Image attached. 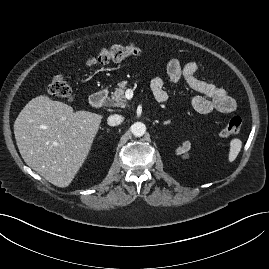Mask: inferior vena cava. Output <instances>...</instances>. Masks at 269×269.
Segmentation results:
<instances>
[{"instance_id":"1","label":"inferior vena cava","mask_w":269,"mask_h":269,"mask_svg":"<svg viewBox=\"0 0 269 269\" xmlns=\"http://www.w3.org/2000/svg\"><path fill=\"white\" fill-rule=\"evenodd\" d=\"M124 118L121 115L114 114L108 117L107 123L109 126H117L123 122Z\"/></svg>"}]
</instances>
